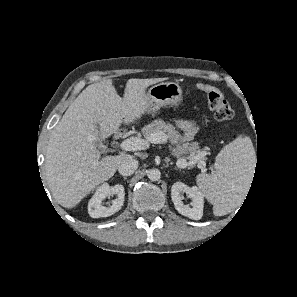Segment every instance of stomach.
Listing matches in <instances>:
<instances>
[{"mask_svg":"<svg viewBox=\"0 0 297 297\" xmlns=\"http://www.w3.org/2000/svg\"><path fill=\"white\" fill-rule=\"evenodd\" d=\"M147 110L155 113L165 105L178 106L183 101V90L176 82H162L152 86L146 93Z\"/></svg>","mask_w":297,"mask_h":297,"instance_id":"stomach-1","label":"stomach"}]
</instances>
